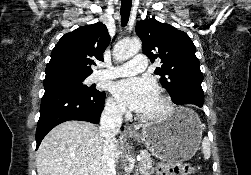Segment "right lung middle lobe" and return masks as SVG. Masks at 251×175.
<instances>
[{"label":"right lung middle lobe","mask_w":251,"mask_h":175,"mask_svg":"<svg viewBox=\"0 0 251 175\" xmlns=\"http://www.w3.org/2000/svg\"><path fill=\"white\" fill-rule=\"evenodd\" d=\"M88 76L84 77H70V76H60V77H51V78H45L44 80V87L50 86V85H66L70 87L77 88L81 91H84L86 93H90L94 91V87H88L83 84V81Z\"/></svg>","instance_id":"dd1d6c3e"}]
</instances>
